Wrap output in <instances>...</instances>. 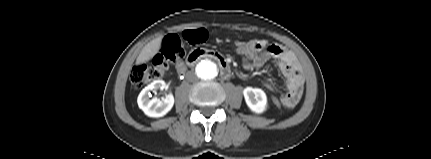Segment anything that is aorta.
Wrapping results in <instances>:
<instances>
[{
	"label": "aorta",
	"instance_id": "aorta-1",
	"mask_svg": "<svg viewBox=\"0 0 431 159\" xmlns=\"http://www.w3.org/2000/svg\"><path fill=\"white\" fill-rule=\"evenodd\" d=\"M197 76L204 81H211L218 75L217 65L210 60H203L196 66Z\"/></svg>",
	"mask_w": 431,
	"mask_h": 159
}]
</instances>
